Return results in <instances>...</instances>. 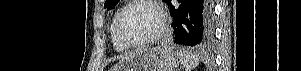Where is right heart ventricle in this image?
<instances>
[{"mask_svg":"<svg viewBox=\"0 0 301 71\" xmlns=\"http://www.w3.org/2000/svg\"><path fill=\"white\" fill-rule=\"evenodd\" d=\"M118 15V12L115 14L113 17V20L110 25V36H111V41L113 44V47L116 51H124L126 50V47L117 39L116 32H115V22H116V17Z\"/></svg>","mask_w":301,"mask_h":71,"instance_id":"1","label":"right heart ventricle"}]
</instances>
